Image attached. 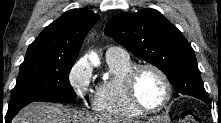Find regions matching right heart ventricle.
Returning <instances> with one entry per match:
<instances>
[{
    "instance_id": "1",
    "label": "right heart ventricle",
    "mask_w": 221,
    "mask_h": 123,
    "mask_svg": "<svg viewBox=\"0 0 221 123\" xmlns=\"http://www.w3.org/2000/svg\"><path fill=\"white\" fill-rule=\"evenodd\" d=\"M107 62L111 77L97 86L93 110L110 119L126 120L141 117L143 113L130 104L123 86L124 77L133 68V63L129 58L110 59Z\"/></svg>"
}]
</instances>
